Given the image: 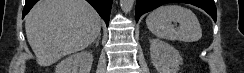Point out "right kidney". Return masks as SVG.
<instances>
[{
    "mask_svg": "<svg viewBox=\"0 0 244 73\" xmlns=\"http://www.w3.org/2000/svg\"><path fill=\"white\" fill-rule=\"evenodd\" d=\"M93 55L82 51L62 60L55 69V73H90Z\"/></svg>",
    "mask_w": 244,
    "mask_h": 73,
    "instance_id": "1",
    "label": "right kidney"
}]
</instances>
